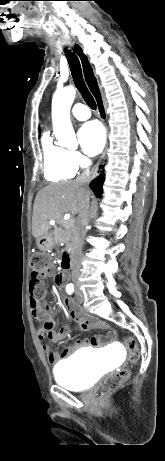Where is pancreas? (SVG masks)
Segmentation results:
<instances>
[{
    "instance_id": "obj_1",
    "label": "pancreas",
    "mask_w": 165,
    "mask_h": 461,
    "mask_svg": "<svg viewBox=\"0 0 165 461\" xmlns=\"http://www.w3.org/2000/svg\"><path fill=\"white\" fill-rule=\"evenodd\" d=\"M58 223L60 224V226H56L53 232L55 241L64 242L67 248H72L74 241V230L72 226L73 224L70 225V222L66 223L63 220H58Z\"/></svg>"
}]
</instances>
